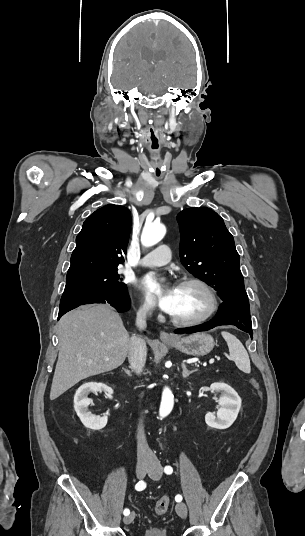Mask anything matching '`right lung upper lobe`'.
Masks as SVG:
<instances>
[{"mask_svg":"<svg viewBox=\"0 0 305 536\" xmlns=\"http://www.w3.org/2000/svg\"><path fill=\"white\" fill-rule=\"evenodd\" d=\"M130 229L126 207L106 205L92 213L76 237L66 278L117 269L124 262Z\"/></svg>","mask_w":305,"mask_h":536,"instance_id":"cb5924a9","label":"right lung upper lobe"}]
</instances>
